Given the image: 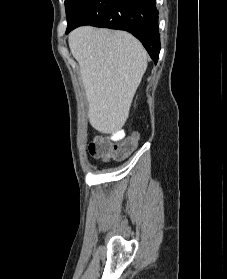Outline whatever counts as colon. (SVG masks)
Returning <instances> with one entry per match:
<instances>
[{
    "instance_id": "1",
    "label": "colon",
    "mask_w": 227,
    "mask_h": 279,
    "mask_svg": "<svg viewBox=\"0 0 227 279\" xmlns=\"http://www.w3.org/2000/svg\"><path fill=\"white\" fill-rule=\"evenodd\" d=\"M138 143V136L132 135L128 139L109 143L105 139L93 141L88 148L89 155L98 160L107 161L110 158H125Z\"/></svg>"
}]
</instances>
